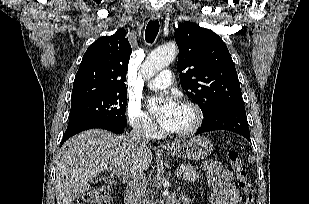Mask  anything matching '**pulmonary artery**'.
I'll return each mask as SVG.
<instances>
[{
    "instance_id": "obj_1",
    "label": "pulmonary artery",
    "mask_w": 309,
    "mask_h": 204,
    "mask_svg": "<svg viewBox=\"0 0 309 204\" xmlns=\"http://www.w3.org/2000/svg\"><path fill=\"white\" fill-rule=\"evenodd\" d=\"M172 73L169 70L162 71L158 76L148 81L147 86L151 89H164L171 85Z\"/></svg>"
}]
</instances>
